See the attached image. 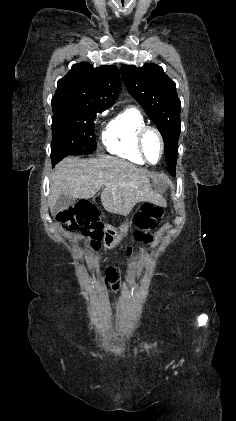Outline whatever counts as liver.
Here are the masks:
<instances>
[{
  "label": "liver",
  "instance_id": "obj_1",
  "mask_svg": "<svg viewBox=\"0 0 236 421\" xmlns=\"http://www.w3.org/2000/svg\"><path fill=\"white\" fill-rule=\"evenodd\" d=\"M50 178L51 215H54V204L61 194L91 198L102 186L105 188L101 192V202L108 213L126 217L141 200L164 204L163 196L152 190L147 170L117 156H66L56 164Z\"/></svg>",
  "mask_w": 236,
  "mask_h": 421
}]
</instances>
